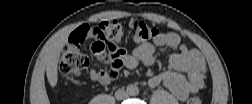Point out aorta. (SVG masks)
Segmentation results:
<instances>
[{"label":"aorta","mask_w":252,"mask_h":104,"mask_svg":"<svg viewBox=\"0 0 252 104\" xmlns=\"http://www.w3.org/2000/svg\"><path fill=\"white\" fill-rule=\"evenodd\" d=\"M126 91L127 94L130 96H135L139 93V89L136 85H128Z\"/></svg>","instance_id":"762f6f07"}]
</instances>
